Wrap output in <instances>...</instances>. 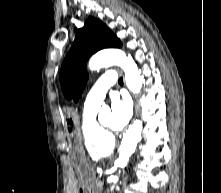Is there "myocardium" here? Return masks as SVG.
<instances>
[{
	"mask_svg": "<svg viewBox=\"0 0 221 193\" xmlns=\"http://www.w3.org/2000/svg\"><path fill=\"white\" fill-rule=\"evenodd\" d=\"M99 126H100V129L102 130V132L107 136H110V134L114 133L113 128H109V127L105 126L103 123H99Z\"/></svg>",
	"mask_w": 221,
	"mask_h": 193,
	"instance_id": "1",
	"label": "myocardium"
}]
</instances>
